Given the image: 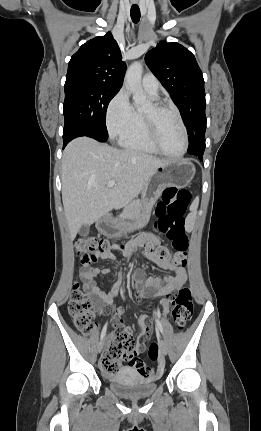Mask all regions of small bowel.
<instances>
[{"instance_id":"c3829d8e","label":"small bowel","mask_w":261,"mask_h":431,"mask_svg":"<svg viewBox=\"0 0 261 431\" xmlns=\"http://www.w3.org/2000/svg\"><path fill=\"white\" fill-rule=\"evenodd\" d=\"M138 243L151 242L154 244H160V238L152 232H145L142 234L138 240ZM102 258H111V253L106 252L100 255ZM145 259L155 263L159 268L163 270H169L173 272V275L166 276L163 279L149 277L144 279V274L142 271L138 270L135 273V283L140 289L142 297H161L166 296L169 293L179 290L182 288L187 281L186 269L182 266H178L171 262L170 260H162L157 257L154 253L145 254ZM110 272L108 268H91L89 266H83L80 269V278L83 282L84 290L90 295L91 301L98 311H103L105 304L111 301V295L106 294L101 290L95 283V278L99 275H104ZM161 307L163 309V315H167L169 312V304L166 298L160 301ZM108 316V313H105ZM123 317V312L120 308L115 311L114 323L122 332L131 336L132 330L130 327L126 326L124 321L120 318ZM141 332L149 336L152 331V325L147 322V317L145 314L140 315ZM145 348V343L143 341H138L134 347L135 356L137 353L143 351ZM137 360H139L136 357ZM142 362V361H141Z\"/></svg>"}]
</instances>
